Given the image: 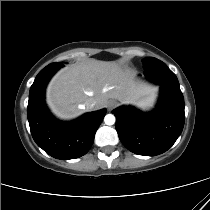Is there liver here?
I'll use <instances>...</instances> for the list:
<instances>
[{
    "instance_id": "1",
    "label": "liver",
    "mask_w": 210,
    "mask_h": 210,
    "mask_svg": "<svg viewBox=\"0 0 210 210\" xmlns=\"http://www.w3.org/2000/svg\"><path fill=\"white\" fill-rule=\"evenodd\" d=\"M157 96V88L135 79V74L114 62L89 60L61 69L51 79L46 102L61 119H72L88 111L85 103L94 99L95 110L109 99L123 104L148 105Z\"/></svg>"
}]
</instances>
